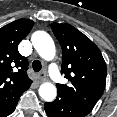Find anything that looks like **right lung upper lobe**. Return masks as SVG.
<instances>
[{
  "mask_svg": "<svg viewBox=\"0 0 117 117\" xmlns=\"http://www.w3.org/2000/svg\"><path fill=\"white\" fill-rule=\"evenodd\" d=\"M34 22L18 19L0 28V117L17 104L32 80L27 76V58L18 52L19 43L32 29Z\"/></svg>",
  "mask_w": 117,
  "mask_h": 117,
  "instance_id": "right-lung-upper-lobe-1",
  "label": "right lung upper lobe"
}]
</instances>
